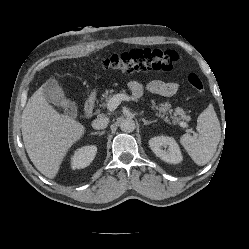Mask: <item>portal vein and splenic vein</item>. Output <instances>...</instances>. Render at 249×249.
I'll use <instances>...</instances> for the list:
<instances>
[{"instance_id":"portal-vein-and-splenic-vein-1","label":"portal vein and splenic vein","mask_w":249,"mask_h":249,"mask_svg":"<svg viewBox=\"0 0 249 249\" xmlns=\"http://www.w3.org/2000/svg\"><path fill=\"white\" fill-rule=\"evenodd\" d=\"M130 97L126 94H116L111 97V99L107 103V109L109 111H114L121 103V101H129ZM179 125L183 128L187 127L185 122H179Z\"/></svg>"}]
</instances>
